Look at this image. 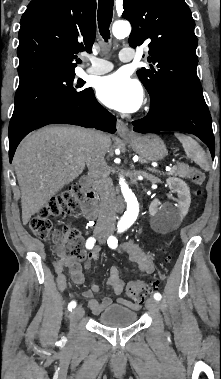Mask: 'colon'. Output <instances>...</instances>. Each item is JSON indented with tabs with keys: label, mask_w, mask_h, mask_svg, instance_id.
<instances>
[{
	"label": "colon",
	"mask_w": 221,
	"mask_h": 379,
	"mask_svg": "<svg viewBox=\"0 0 221 379\" xmlns=\"http://www.w3.org/2000/svg\"><path fill=\"white\" fill-rule=\"evenodd\" d=\"M188 177L192 183L199 186L204 181V174L195 167L188 170ZM196 194H200L199 191ZM85 196L81 186H72L69 190L47 202L32 217L29 227L32 233L39 238L52 237L62 245V252L66 258L81 260L85 257L82 240L77 230L69 227L55 229L51 218L69 214L83 201ZM155 288L140 280L132 281L127 286V295L136 302H142L145 296Z\"/></svg>",
	"instance_id": "1"
}]
</instances>
